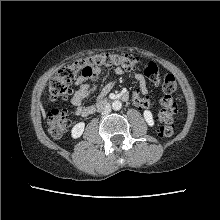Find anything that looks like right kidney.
I'll list each match as a JSON object with an SVG mask.
<instances>
[{
    "label": "right kidney",
    "mask_w": 220,
    "mask_h": 220,
    "mask_svg": "<svg viewBox=\"0 0 220 220\" xmlns=\"http://www.w3.org/2000/svg\"><path fill=\"white\" fill-rule=\"evenodd\" d=\"M84 128H85L84 122L77 123L71 130L72 138H74V139L79 138L83 134Z\"/></svg>",
    "instance_id": "obj_1"
}]
</instances>
